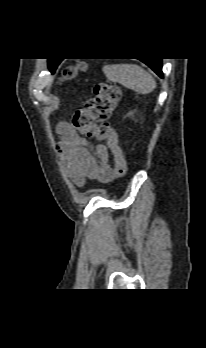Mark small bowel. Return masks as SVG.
I'll list each match as a JSON object with an SVG mask.
<instances>
[{"mask_svg":"<svg viewBox=\"0 0 206 348\" xmlns=\"http://www.w3.org/2000/svg\"><path fill=\"white\" fill-rule=\"evenodd\" d=\"M57 132L60 137L58 150L64 171L75 184L82 186L86 179L102 183L114 179L110 154L105 145H95L92 153L89 144L65 122L58 124Z\"/></svg>","mask_w":206,"mask_h":348,"instance_id":"c3829d8e","label":"small bowel"}]
</instances>
